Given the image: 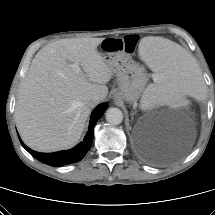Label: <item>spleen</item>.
<instances>
[{"mask_svg":"<svg viewBox=\"0 0 215 215\" xmlns=\"http://www.w3.org/2000/svg\"><path fill=\"white\" fill-rule=\"evenodd\" d=\"M139 51L148 67L154 72L155 83L144 90L141 105L152 108L157 105L179 106L171 104V97L202 98L205 81L199 74V60L191 52H185L179 46L158 38H143ZM148 97H156V104H148ZM165 97L167 102L161 104L159 99Z\"/></svg>","mask_w":215,"mask_h":215,"instance_id":"obj_1","label":"spleen"}]
</instances>
